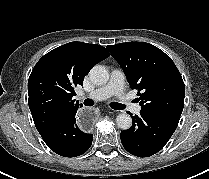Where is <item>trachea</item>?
Wrapping results in <instances>:
<instances>
[{
    "label": "trachea",
    "mask_w": 209,
    "mask_h": 179,
    "mask_svg": "<svg viewBox=\"0 0 209 179\" xmlns=\"http://www.w3.org/2000/svg\"><path fill=\"white\" fill-rule=\"evenodd\" d=\"M84 105H86V106H93L94 105V101L91 100V99H85L84 100ZM110 106H111L112 109H115V110H123L125 108L124 105H122L120 103H117V102L110 103Z\"/></svg>",
    "instance_id": "1"
}]
</instances>
